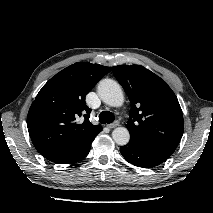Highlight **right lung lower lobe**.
<instances>
[{"label": "right lung lower lobe", "mask_w": 213, "mask_h": 213, "mask_svg": "<svg viewBox=\"0 0 213 213\" xmlns=\"http://www.w3.org/2000/svg\"><path fill=\"white\" fill-rule=\"evenodd\" d=\"M99 133L87 139L86 141H84L82 144H80L79 146L75 148L68 149V150H61V151H49V152H45L41 154L46 159L58 164L76 163L87 156V154L90 151L93 140Z\"/></svg>", "instance_id": "1"}]
</instances>
